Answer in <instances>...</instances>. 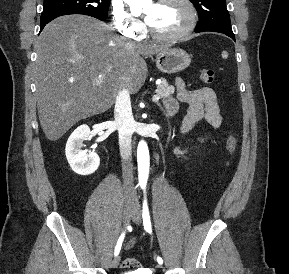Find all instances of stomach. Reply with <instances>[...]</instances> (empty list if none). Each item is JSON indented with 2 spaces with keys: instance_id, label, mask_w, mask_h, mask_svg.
Wrapping results in <instances>:
<instances>
[{
  "instance_id": "0dacf381",
  "label": "stomach",
  "mask_w": 289,
  "mask_h": 274,
  "mask_svg": "<svg viewBox=\"0 0 289 274\" xmlns=\"http://www.w3.org/2000/svg\"><path fill=\"white\" fill-rule=\"evenodd\" d=\"M191 59L188 53L178 48H166L157 54V68L167 74L177 73L190 65Z\"/></svg>"
}]
</instances>
